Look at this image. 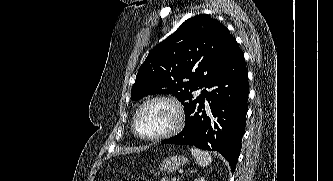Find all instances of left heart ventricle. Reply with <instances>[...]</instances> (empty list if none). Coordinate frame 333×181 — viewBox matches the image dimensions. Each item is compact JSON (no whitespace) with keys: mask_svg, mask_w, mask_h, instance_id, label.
I'll return each mask as SVG.
<instances>
[{"mask_svg":"<svg viewBox=\"0 0 333 181\" xmlns=\"http://www.w3.org/2000/svg\"><path fill=\"white\" fill-rule=\"evenodd\" d=\"M174 122L173 107L166 102H154L141 111L136 127L143 136H155L169 130Z\"/></svg>","mask_w":333,"mask_h":181,"instance_id":"left-heart-ventricle-1","label":"left heart ventricle"}]
</instances>
